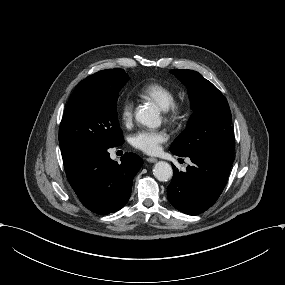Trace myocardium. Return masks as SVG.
I'll return each mask as SVG.
<instances>
[{
  "instance_id": "1",
  "label": "myocardium",
  "mask_w": 285,
  "mask_h": 285,
  "mask_svg": "<svg viewBox=\"0 0 285 285\" xmlns=\"http://www.w3.org/2000/svg\"><path fill=\"white\" fill-rule=\"evenodd\" d=\"M184 106L185 103L182 100L174 99L170 104L162 108L165 120L173 122L179 119L183 112Z\"/></svg>"
}]
</instances>
